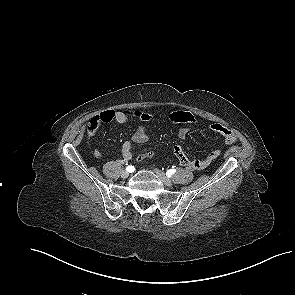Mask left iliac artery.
Listing matches in <instances>:
<instances>
[{"mask_svg":"<svg viewBox=\"0 0 295 295\" xmlns=\"http://www.w3.org/2000/svg\"><path fill=\"white\" fill-rule=\"evenodd\" d=\"M175 172H176V169H170V170L167 171L166 175L168 177H171Z\"/></svg>","mask_w":295,"mask_h":295,"instance_id":"obj_1","label":"left iliac artery"}]
</instances>
